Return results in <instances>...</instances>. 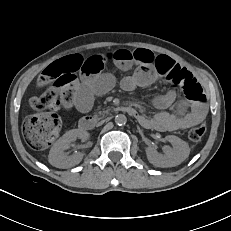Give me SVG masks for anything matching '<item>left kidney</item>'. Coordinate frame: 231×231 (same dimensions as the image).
Instances as JSON below:
<instances>
[{"label":"left kidney","instance_id":"1","mask_svg":"<svg viewBox=\"0 0 231 231\" xmlns=\"http://www.w3.org/2000/svg\"><path fill=\"white\" fill-rule=\"evenodd\" d=\"M166 140L172 144L164 147V155L159 154L154 147L146 148V155L149 162L158 167H174L183 162L190 154L188 144L174 135H168Z\"/></svg>","mask_w":231,"mask_h":231}]
</instances>
